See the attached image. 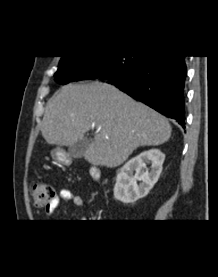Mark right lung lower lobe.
I'll return each instance as SVG.
<instances>
[{
	"mask_svg": "<svg viewBox=\"0 0 218 277\" xmlns=\"http://www.w3.org/2000/svg\"><path fill=\"white\" fill-rule=\"evenodd\" d=\"M185 56H149L125 82H109L129 96L176 120L185 128ZM104 79L87 75L84 79Z\"/></svg>",
	"mask_w": 218,
	"mask_h": 277,
	"instance_id": "98d812e1",
	"label": "right lung lower lobe"
}]
</instances>
